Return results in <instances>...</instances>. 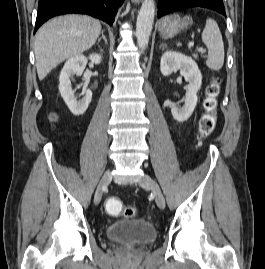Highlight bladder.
I'll return each instance as SVG.
<instances>
[{"label": "bladder", "mask_w": 265, "mask_h": 269, "mask_svg": "<svg viewBox=\"0 0 265 269\" xmlns=\"http://www.w3.org/2000/svg\"><path fill=\"white\" fill-rule=\"evenodd\" d=\"M108 240L130 244H147L157 237L156 227L148 220H120L105 231Z\"/></svg>", "instance_id": "bladder-1"}]
</instances>
